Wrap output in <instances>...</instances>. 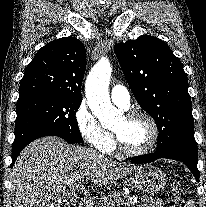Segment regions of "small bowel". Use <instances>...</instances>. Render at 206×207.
Listing matches in <instances>:
<instances>
[{"mask_svg": "<svg viewBox=\"0 0 206 207\" xmlns=\"http://www.w3.org/2000/svg\"><path fill=\"white\" fill-rule=\"evenodd\" d=\"M140 207H163L161 202L146 199Z\"/></svg>", "mask_w": 206, "mask_h": 207, "instance_id": "obj_1", "label": "small bowel"}]
</instances>
